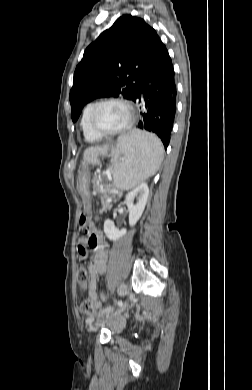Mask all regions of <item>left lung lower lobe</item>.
I'll return each instance as SVG.
<instances>
[{
	"label": "left lung lower lobe",
	"mask_w": 252,
	"mask_h": 390,
	"mask_svg": "<svg viewBox=\"0 0 252 390\" xmlns=\"http://www.w3.org/2000/svg\"><path fill=\"white\" fill-rule=\"evenodd\" d=\"M176 84L172 60L162 45L143 74L134 102L143 103L138 128L155 133L165 149L169 145L176 113Z\"/></svg>",
	"instance_id": "left-lung-lower-lobe-1"
}]
</instances>
